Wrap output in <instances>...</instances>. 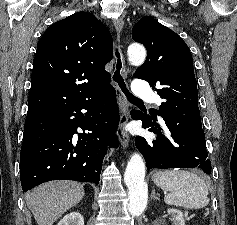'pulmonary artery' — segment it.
Masks as SVG:
<instances>
[{
  "label": "pulmonary artery",
  "instance_id": "obj_1",
  "mask_svg": "<svg viewBox=\"0 0 237 225\" xmlns=\"http://www.w3.org/2000/svg\"><path fill=\"white\" fill-rule=\"evenodd\" d=\"M132 91L135 95L139 97H142L146 100H149L155 103H160V98L152 93L150 87L145 82H141V81L135 82L133 85Z\"/></svg>",
  "mask_w": 237,
  "mask_h": 225
}]
</instances>
